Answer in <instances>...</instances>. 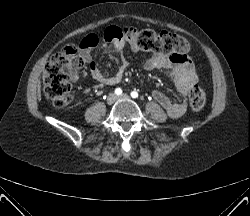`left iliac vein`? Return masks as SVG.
<instances>
[{"instance_id": "4c4485c4", "label": "left iliac vein", "mask_w": 250, "mask_h": 216, "mask_svg": "<svg viewBox=\"0 0 250 216\" xmlns=\"http://www.w3.org/2000/svg\"><path fill=\"white\" fill-rule=\"evenodd\" d=\"M129 96L127 94H122L120 96H117V99H128Z\"/></svg>"}]
</instances>
